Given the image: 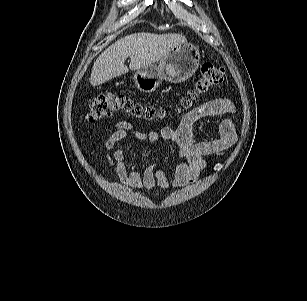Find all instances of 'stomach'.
Segmentation results:
<instances>
[{
    "label": "stomach",
    "mask_w": 307,
    "mask_h": 301,
    "mask_svg": "<svg viewBox=\"0 0 307 301\" xmlns=\"http://www.w3.org/2000/svg\"><path fill=\"white\" fill-rule=\"evenodd\" d=\"M200 63L199 49L189 43H181L163 57L159 63L136 70L133 82L137 89L151 93L163 80L182 83L189 79L198 69Z\"/></svg>",
    "instance_id": "stomach-1"
}]
</instances>
